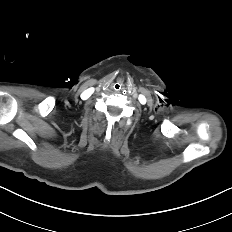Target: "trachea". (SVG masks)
Returning a JSON list of instances; mask_svg holds the SVG:
<instances>
[{"label": "trachea", "instance_id": "obj_1", "mask_svg": "<svg viewBox=\"0 0 232 232\" xmlns=\"http://www.w3.org/2000/svg\"><path fill=\"white\" fill-rule=\"evenodd\" d=\"M112 88H113L115 91L119 92V91H121V90L123 89V84L120 83V82H115V83L113 84Z\"/></svg>", "mask_w": 232, "mask_h": 232}]
</instances>
